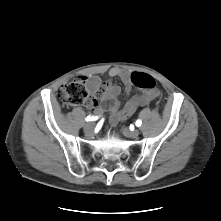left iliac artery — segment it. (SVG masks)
Listing matches in <instances>:
<instances>
[{
  "label": "left iliac artery",
  "instance_id": "1",
  "mask_svg": "<svg viewBox=\"0 0 221 221\" xmlns=\"http://www.w3.org/2000/svg\"><path fill=\"white\" fill-rule=\"evenodd\" d=\"M141 124H142V121H141V120H137V121H136V126L139 127V126H141Z\"/></svg>",
  "mask_w": 221,
  "mask_h": 221
}]
</instances>
